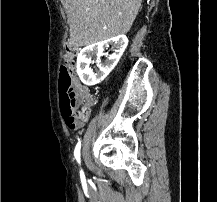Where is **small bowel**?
I'll use <instances>...</instances> for the list:
<instances>
[{
  "mask_svg": "<svg viewBox=\"0 0 217 202\" xmlns=\"http://www.w3.org/2000/svg\"><path fill=\"white\" fill-rule=\"evenodd\" d=\"M75 91H76V97H77V101L79 103H84V102H87V103H90L91 102V98L90 100H79V95H88V92L87 90L85 89V87H83L82 84H80L79 82H75ZM90 109L89 108H86L84 110V113H83V116L80 117V123H79V128L83 126L84 122L87 121L90 117Z\"/></svg>",
  "mask_w": 217,
  "mask_h": 202,
  "instance_id": "small-bowel-1",
  "label": "small bowel"
}]
</instances>
